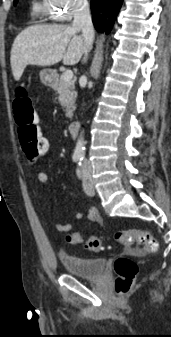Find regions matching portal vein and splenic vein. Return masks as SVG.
<instances>
[{
	"instance_id": "portal-vein-and-splenic-vein-1",
	"label": "portal vein and splenic vein",
	"mask_w": 171,
	"mask_h": 337,
	"mask_svg": "<svg viewBox=\"0 0 171 337\" xmlns=\"http://www.w3.org/2000/svg\"><path fill=\"white\" fill-rule=\"evenodd\" d=\"M62 77L65 81H70L73 78V72L71 70H66Z\"/></svg>"
}]
</instances>
